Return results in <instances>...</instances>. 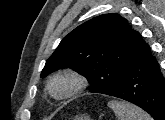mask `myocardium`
Listing matches in <instances>:
<instances>
[{
  "label": "myocardium",
  "mask_w": 165,
  "mask_h": 120,
  "mask_svg": "<svg viewBox=\"0 0 165 120\" xmlns=\"http://www.w3.org/2000/svg\"><path fill=\"white\" fill-rule=\"evenodd\" d=\"M58 82H65L67 84L65 91L61 93L56 92L55 85ZM85 85L86 80L79 72L73 69H63L53 74L49 79L48 90L54 98L65 100L79 93L84 89Z\"/></svg>",
  "instance_id": "obj_1"
}]
</instances>
